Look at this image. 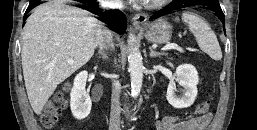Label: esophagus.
Returning <instances> with one entry per match:
<instances>
[{
	"instance_id": "1",
	"label": "esophagus",
	"mask_w": 257,
	"mask_h": 130,
	"mask_svg": "<svg viewBox=\"0 0 257 130\" xmlns=\"http://www.w3.org/2000/svg\"><path fill=\"white\" fill-rule=\"evenodd\" d=\"M133 24L136 28L143 26L147 21V15L144 13L135 14L132 18Z\"/></svg>"
}]
</instances>
